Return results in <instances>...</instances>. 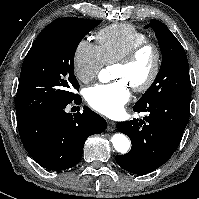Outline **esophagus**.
Here are the masks:
<instances>
[{"label": "esophagus", "mask_w": 199, "mask_h": 199, "mask_svg": "<svg viewBox=\"0 0 199 199\" xmlns=\"http://www.w3.org/2000/svg\"><path fill=\"white\" fill-rule=\"evenodd\" d=\"M108 125H107V129L110 131L115 130L116 128V123L114 121L108 120L107 121Z\"/></svg>", "instance_id": "1"}]
</instances>
